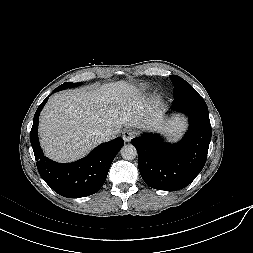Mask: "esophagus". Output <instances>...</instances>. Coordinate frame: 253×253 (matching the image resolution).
I'll list each match as a JSON object with an SVG mask.
<instances>
[{"mask_svg":"<svg viewBox=\"0 0 253 253\" xmlns=\"http://www.w3.org/2000/svg\"><path fill=\"white\" fill-rule=\"evenodd\" d=\"M136 136V131L133 129H126L122 133L123 140L130 142Z\"/></svg>","mask_w":253,"mask_h":253,"instance_id":"obj_1","label":"esophagus"}]
</instances>
